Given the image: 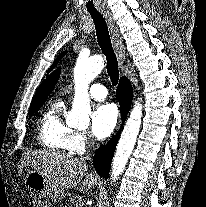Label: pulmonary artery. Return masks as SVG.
<instances>
[{
  "instance_id": "e3ab8cb5",
  "label": "pulmonary artery",
  "mask_w": 206,
  "mask_h": 207,
  "mask_svg": "<svg viewBox=\"0 0 206 207\" xmlns=\"http://www.w3.org/2000/svg\"><path fill=\"white\" fill-rule=\"evenodd\" d=\"M89 94L94 99L102 100L107 97L108 90L101 84H92L89 88Z\"/></svg>"
}]
</instances>
